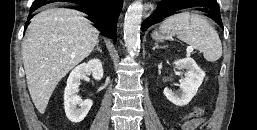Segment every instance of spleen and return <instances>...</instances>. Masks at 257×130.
<instances>
[{
    "label": "spleen",
    "mask_w": 257,
    "mask_h": 130,
    "mask_svg": "<svg viewBox=\"0 0 257 130\" xmlns=\"http://www.w3.org/2000/svg\"><path fill=\"white\" fill-rule=\"evenodd\" d=\"M159 30L169 36L176 35L200 50L209 62H216L222 56V44L216 30L197 13L186 11L174 14L160 24Z\"/></svg>",
    "instance_id": "spleen-1"
}]
</instances>
